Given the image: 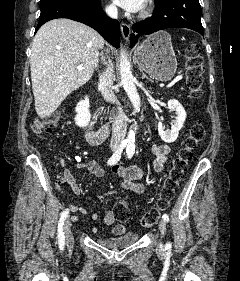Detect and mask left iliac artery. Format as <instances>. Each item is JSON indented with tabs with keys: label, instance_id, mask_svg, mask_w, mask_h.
Returning <instances> with one entry per match:
<instances>
[{
	"label": "left iliac artery",
	"instance_id": "44dca946",
	"mask_svg": "<svg viewBox=\"0 0 240 281\" xmlns=\"http://www.w3.org/2000/svg\"><path fill=\"white\" fill-rule=\"evenodd\" d=\"M134 153H135V144L134 143H129L127 145V149H126L127 157L130 159L134 155ZM162 219L165 222H168L169 221V216L165 213V214H163ZM170 249H171V244L167 243L166 244V250H170Z\"/></svg>",
	"mask_w": 240,
	"mask_h": 281
}]
</instances>
